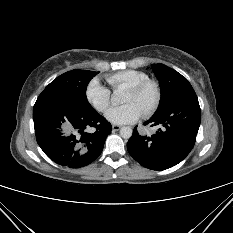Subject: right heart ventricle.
<instances>
[{
  "label": "right heart ventricle",
  "mask_w": 233,
  "mask_h": 233,
  "mask_svg": "<svg viewBox=\"0 0 233 233\" xmlns=\"http://www.w3.org/2000/svg\"><path fill=\"white\" fill-rule=\"evenodd\" d=\"M106 79L113 89H119L128 88L149 79V75L143 71L129 69L110 74Z\"/></svg>",
  "instance_id": "1"
}]
</instances>
